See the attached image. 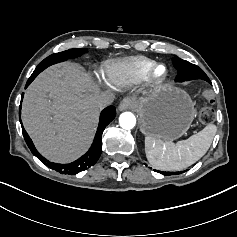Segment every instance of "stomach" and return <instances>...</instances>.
Returning a JSON list of instances; mask_svg holds the SVG:
<instances>
[{
    "label": "stomach",
    "instance_id": "obj_1",
    "mask_svg": "<svg viewBox=\"0 0 237 237\" xmlns=\"http://www.w3.org/2000/svg\"><path fill=\"white\" fill-rule=\"evenodd\" d=\"M133 99L141 132L158 140L179 139L190 129L196 115L189 95L171 85H163L150 93H138Z\"/></svg>",
    "mask_w": 237,
    "mask_h": 237
}]
</instances>
